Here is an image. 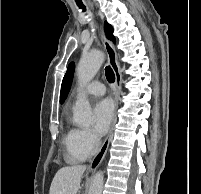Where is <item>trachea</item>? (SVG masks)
<instances>
[{
  "mask_svg": "<svg viewBox=\"0 0 201 194\" xmlns=\"http://www.w3.org/2000/svg\"><path fill=\"white\" fill-rule=\"evenodd\" d=\"M77 5L80 9L83 10V12L86 11L85 6L81 2H78ZM105 75L109 83H113L115 81V74L110 66L105 68Z\"/></svg>",
  "mask_w": 201,
  "mask_h": 194,
  "instance_id": "obj_1",
  "label": "trachea"
}]
</instances>
